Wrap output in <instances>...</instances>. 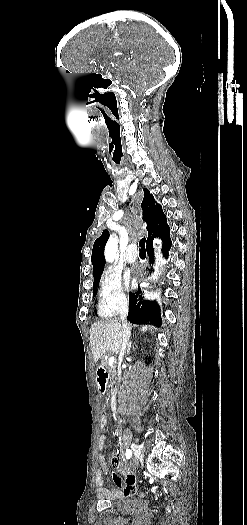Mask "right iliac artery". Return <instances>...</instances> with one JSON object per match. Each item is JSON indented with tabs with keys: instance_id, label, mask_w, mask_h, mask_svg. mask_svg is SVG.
<instances>
[{
	"instance_id": "1",
	"label": "right iliac artery",
	"mask_w": 247,
	"mask_h": 525,
	"mask_svg": "<svg viewBox=\"0 0 247 525\" xmlns=\"http://www.w3.org/2000/svg\"><path fill=\"white\" fill-rule=\"evenodd\" d=\"M132 456V452L130 449L126 450V458L129 459Z\"/></svg>"
}]
</instances>
